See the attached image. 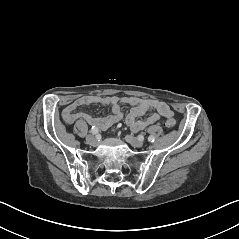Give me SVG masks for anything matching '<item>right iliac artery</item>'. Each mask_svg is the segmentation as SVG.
Instances as JSON below:
<instances>
[{"label":"right iliac artery","mask_w":239,"mask_h":239,"mask_svg":"<svg viewBox=\"0 0 239 239\" xmlns=\"http://www.w3.org/2000/svg\"><path fill=\"white\" fill-rule=\"evenodd\" d=\"M98 131H99L98 128H96L95 126H93V127L91 128V131H90V132L95 135V134L98 133Z\"/></svg>","instance_id":"1"}]
</instances>
